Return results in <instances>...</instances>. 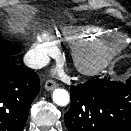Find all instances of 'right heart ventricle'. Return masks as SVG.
Returning a JSON list of instances; mask_svg holds the SVG:
<instances>
[{
    "instance_id": "e07e8e85",
    "label": "right heart ventricle",
    "mask_w": 131,
    "mask_h": 131,
    "mask_svg": "<svg viewBox=\"0 0 131 131\" xmlns=\"http://www.w3.org/2000/svg\"><path fill=\"white\" fill-rule=\"evenodd\" d=\"M109 34L115 33H113L111 29L99 25H68L63 26L53 37L63 39L74 45L77 43L95 40Z\"/></svg>"
}]
</instances>
